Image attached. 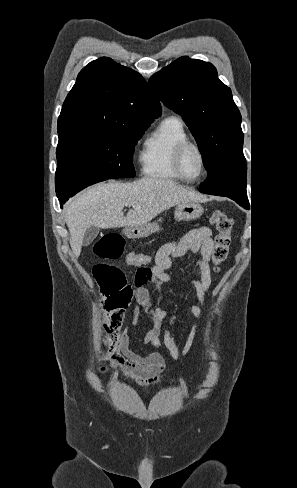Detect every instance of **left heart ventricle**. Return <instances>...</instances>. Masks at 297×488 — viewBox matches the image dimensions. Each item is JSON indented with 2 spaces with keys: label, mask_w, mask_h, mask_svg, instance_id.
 I'll use <instances>...</instances> for the list:
<instances>
[{
  "label": "left heart ventricle",
  "mask_w": 297,
  "mask_h": 488,
  "mask_svg": "<svg viewBox=\"0 0 297 488\" xmlns=\"http://www.w3.org/2000/svg\"><path fill=\"white\" fill-rule=\"evenodd\" d=\"M182 169L186 176L196 177L201 171V158L194 148H188L182 157Z\"/></svg>",
  "instance_id": "b2bd125f"
}]
</instances>
